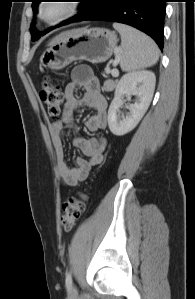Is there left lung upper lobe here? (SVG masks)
<instances>
[{
    "label": "left lung upper lobe",
    "mask_w": 195,
    "mask_h": 299,
    "mask_svg": "<svg viewBox=\"0 0 195 299\" xmlns=\"http://www.w3.org/2000/svg\"><path fill=\"white\" fill-rule=\"evenodd\" d=\"M41 2V0H32V8H33V13L36 14L37 13V6L38 4ZM90 6V0H82V4L80 6V12L78 15H76L75 17L65 21L63 24H68L70 22H75L76 19H78V17H80V15ZM30 32H31V37L32 40H37L40 37V33L37 32L34 28L33 25H31L30 27ZM48 31L42 33L41 35L46 34Z\"/></svg>",
    "instance_id": "left-lung-upper-lobe-1"
}]
</instances>
